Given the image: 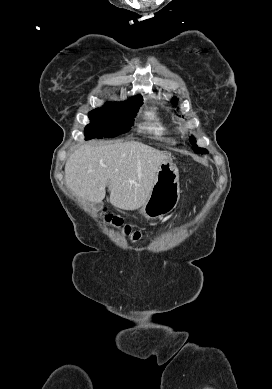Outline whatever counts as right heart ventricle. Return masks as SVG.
<instances>
[{
    "instance_id": "right-heart-ventricle-1",
    "label": "right heart ventricle",
    "mask_w": 272,
    "mask_h": 389,
    "mask_svg": "<svg viewBox=\"0 0 272 389\" xmlns=\"http://www.w3.org/2000/svg\"><path fill=\"white\" fill-rule=\"evenodd\" d=\"M148 122L144 128L156 136H164L170 131V125L155 111L146 113Z\"/></svg>"
}]
</instances>
